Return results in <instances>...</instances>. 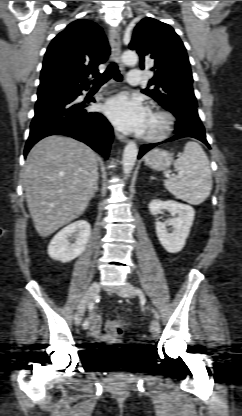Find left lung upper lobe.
Here are the masks:
<instances>
[{
	"instance_id": "left-lung-upper-lobe-1",
	"label": "left lung upper lobe",
	"mask_w": 242,
	"mask_h": 416,
	"mask_svg": "<svg viewBox=\"0 0 242 416\" xmlns=\"http://www.w3.org/2000/svg\"><path fill=\"white\" fill-rule=\"evenodd\" d=\"M130 49L140 56V67L152 64L154 77L143 92L172 112L178 122L194 119L204 127L197 112L192 72L186 49L173 28L153 18H144L134 29Z\"/></svg>"
}]
</instances>
